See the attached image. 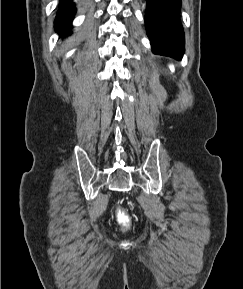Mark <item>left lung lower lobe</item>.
Instances as JSON below:
<instances>
[{
    "label": "left lung lower lobe",
    "instance_id": "left-lung-lower-lobe-1",
    "mask_svg": "<svg viewBox=\"0 0 243 289\" xmlns=\"http://www.w3.org/2000/svg\"><path fill=\"white\" fill-rule=\"evenodd\" d=\"M145 24L153 52L181 59L184 32L179 21L181 0H146Z\"/></svg>",
    "mask_w": 243,
    "mask_h": 289
}]
</instances>
